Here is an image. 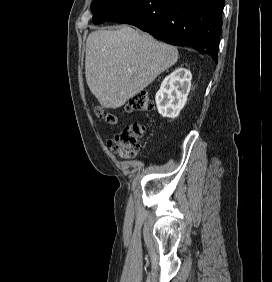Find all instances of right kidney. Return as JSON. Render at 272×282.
I'll return each instance as SVG.
<instances>
[{
    "label": "right kidney",
    "instance_id": "1",
    "mask_svg": "<svg viewBox=\"0 0 272 282\" xmlns=\"http://www.w3.org/2000/svg\"><path fill=\"white\" fill-rule=\"evenodd\" d=\"M192 74L185 68H177L166 76L156 93L158 112L170 119L178 117L185 106L191 88Z\"/></svg>",
    "mask_w": 272,
    "mask_h": 282
}]
</instances>
